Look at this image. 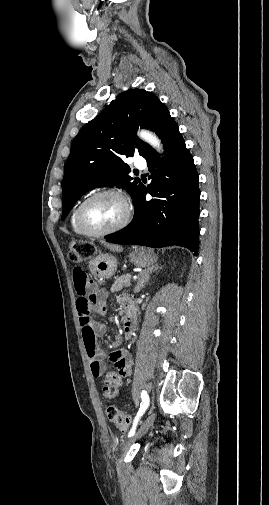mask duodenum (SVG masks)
Here are the masks:
<instances>
[{
  "label": "duodenum",
  "mask_w": 269,
  "mask_h": 505,
  "mask_svg": "<svg viewBox=\"0 0 269 505\" xmlns=\"http://www.w3.org/2000/svg\"><path fill=\"white\" fill-rule=\"evenodd\" d=\"M123 330L125 338H131L136 330L137 316L132 303L127 299L124 303Z\"/></svg>",
  "instance_id": "duodenum-1"
}]
</instances>
